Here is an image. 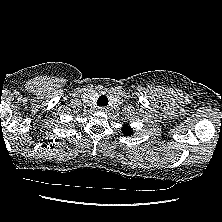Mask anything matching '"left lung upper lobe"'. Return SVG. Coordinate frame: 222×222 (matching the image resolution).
I'll return each instance as SVG.
<instances>
[{"mask_svg": "<svg viewBox=\"0 0 222 222\" xmlns=\"http://www.w3.org/2000/svg\"><path fill=\"white\" fill-rule=\"evenodd\" d=\"M122 133L126 136H129L132 134V131H131L130 127L128 126V124L123 125Z\"/></svg>", "mask_w": 222, "mask_h": 222, "instance_id": "1", "label": "left lung upper lobe"}]
</instances>
